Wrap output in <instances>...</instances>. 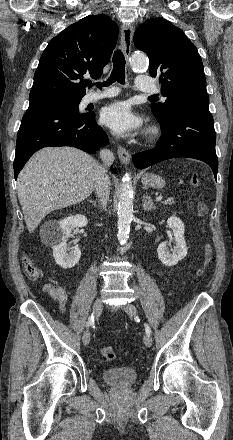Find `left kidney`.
Wrapping results in <instances>:
<instances>
[{
  "label": "left kidney",
  "mask_w": 233,
  "mask_h": 440,
  "mask_svg": "<svg viewBox=\"0 0 233 440\" xmlns=\"http://www.w3.org/2000/svg\"><path fill=\"white\" fill-rule=\"evenodd\" d=\"M167 224L174 234L175 246L168 250V242H161L157 248L160 261L166 266L176 265L187 255V247L184 239L185 226L178 217L172 216L168 218Z\"/></svg>",
  "instance_id": "5707ae66"
}]
</instances>
